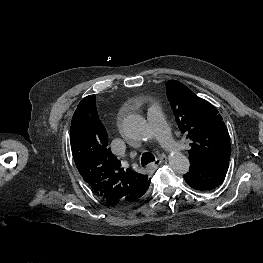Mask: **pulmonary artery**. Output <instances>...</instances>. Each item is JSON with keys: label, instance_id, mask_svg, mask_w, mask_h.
<instances>
[{"label": "pulmonary artery", "instance_id": "obj_1", "mask_svg": "<svg viewBox=\"0 0 263 263\" xmlns=\"http://www.w3.org/2000/svg\"><path fill=\"white\" fill-rule=\"evenodd\" d=\"M147 118L151 134L159 139L167 148L177 149L178 144L172 139L162 111L157 104L149 106Z\"/></svg>", "mask_w": 263, "mask_h": 263}]
</instances>
